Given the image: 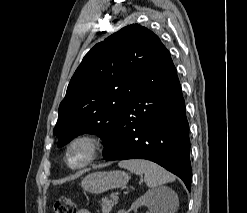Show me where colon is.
<instances>
[{
  "mask_svg": "<svg viewBox=\"0 0 247 213\" xmlns=\"http://www.w3.org/2000/svg\"><path fill=\"white\" fill-rule=\"evenodd\" d=\"M75 203L70 197L59 198L54 205V213H75Z\"/></svg>",
  "mask_w": 247,
  "mask_h": 213,
  "instance_id": "obj_1",
  "label": "colon"
}]
</instances>
